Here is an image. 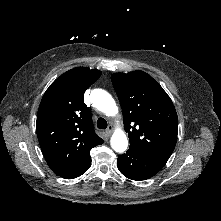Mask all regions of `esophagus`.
<instances>
[{
  "instance_id": "1",
  "label": "esophagus",
  "mask_w": 221,
  "mask_h": 221,
  "mask_svg": "<svg viewBox=\"0 0 221 221\" xmlns=\"http://www.w3.org/2000/svg\"><path fill=\"white\" fill-rule=\"evenodd\" d=\"M112 131H113V127H112V126H109V127L107 128V130H106V134H107L108 136H110L111 133H112Z\"/></svg>"
}]
</instances>
